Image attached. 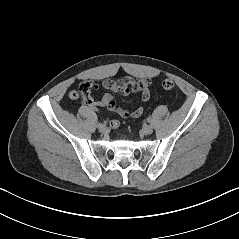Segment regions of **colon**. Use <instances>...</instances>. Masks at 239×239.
Listing matches in <instances>:
<instances>
[{"mask_svg": "<svg viewBox=\"0 0 239 239\" xmlns=\"http://www.w3.org/2000/svg\"><path fill=\"white\" fill-rule=\"evenodd\" d=\"M162 87L166 91H174L176 89L174 81L170 79H165L162 82ZM92 91H93L92 84L90 82H86L80 86L79 92L71 93L70 97L73 100H78L80 98L85 99L91 94Z\"/></svg>", "mask_w": 239, "mask_h": 239, "instance_id": "5ec220e1", "label": "colon"}]
</instances>
